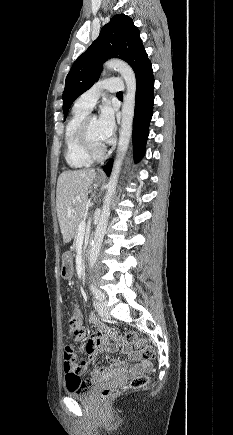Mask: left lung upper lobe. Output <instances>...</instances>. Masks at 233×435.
<instances>
[{"mask_svg": "<svg viewBox=\"0 0 233 435\" xmlns=\"http://www.w3.org/2000/svg\"><path fill=\"white\" fill-rule=\"evenodd\" d=\"M139 29L127 15H114L92 45L72 65L65 81L63 92L64 120L75 99L88 90L100 76L103 62L120 58L133 68L136 77L151 64Z\"/></svg>", "mask_w": 233, "mask_h": 435, "instance_id": "1", "label": "left lung upper lobe"}]
</instances>
